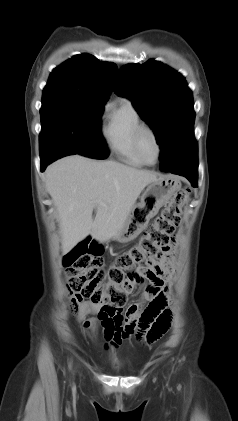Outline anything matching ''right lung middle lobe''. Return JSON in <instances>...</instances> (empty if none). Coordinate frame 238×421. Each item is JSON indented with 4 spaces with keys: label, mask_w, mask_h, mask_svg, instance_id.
I'll list each match as a JSON object with an SVG mask.
<instances>
[{
    "label": "right lung middle lobe",
    "mask_w": 238,
    "mask_h": 421,
    "mask_svg": "<svg viewBox=\"0 0 238 421\" xmlns=\"http://www.w3.org/2000/svg\"><path fill=\"white\" fill-rule=\"evenodd\" d=\"M104 103L83 95L43 92L40 154L59 146L75 154L106 159L109 151L100 130Z\"/></svg>",
    "instance_id": "dd1d6c3e"
}]
</instances>
